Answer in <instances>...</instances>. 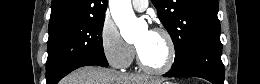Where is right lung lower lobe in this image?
<instances>
[{"mask_svg": "<svg viewBox=\"0 0 260 84\" xmlns=\"http://www.w3.org/2000/svg\"><path fill=\"white\" fill-rule=\"evenodd\" d=\"M89 65H94V64H89V63H87V64H82V65H80V66H77V67H75V68L70 69L69 71H67V72L64 74V76L67 75L68 73H70L71 71H73V70L79 68V67L89 66ZM64 76H63V77H64ZM63 77H62V78H63Z\"/></svg>", "mask_w": 260, "mask_h": 84, "instance_id": "obj_1", "label": "right lung lower lobe"}]
</instances>
